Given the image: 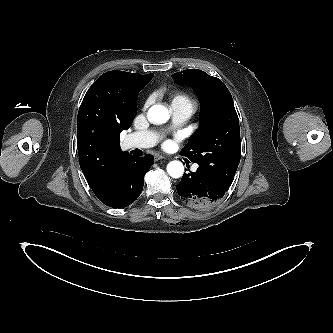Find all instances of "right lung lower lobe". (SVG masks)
<instances>
[{"label":"right lung lower lobe","instance_id":"1","mask_svg":"<svg viewBox=\"0 0 333 333\" xmlns=\"http://www.w3.org/2000/svg\"><path fill=\"white\" fill-rule=\"evenodd\" d=\"M152 162L148 154L144 157L126 156L118 168L112 187L98 199L112 208H124L133 203L142 192L144 175Z\"/></svg>","mask_w":333,"mask_h":333}]
</instances>
